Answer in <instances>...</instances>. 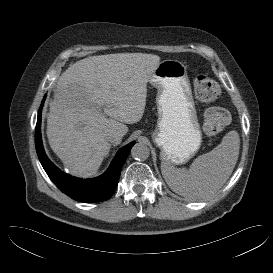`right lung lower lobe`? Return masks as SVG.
Returning a JSON list of instances; mask_svg holds the SVG:
<instances>
[{
  "label": "right lung lower lobe",
  "instance_id": "obj_1",
  "mask_svg": "<svg viewBox=\"0 0 273 273\" xmlns=\"http://www.w3.org/2000/svg\"><path fill=\"white\" fill-rule=\"evenodd\" d=\"M46 95L38 111L35 130V145L39 160L55 185L66 195L80 202L94 203L105 201L113 194L121 173V168L135 142L121 148L113 159L108 170L101 176L93 179H80L65 174L58 169L45 154L41 139V111Z\"/></svg>",
  "mask_w": 273,
  "mask_h": 273
}]
</instances>
